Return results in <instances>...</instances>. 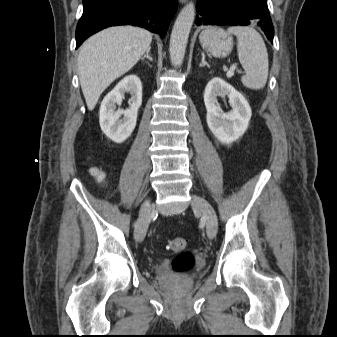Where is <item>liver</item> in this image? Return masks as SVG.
I'll return each instance as SVG.
<instances>
[{
	"label": "liver",
	"instance_id": "liver-1",
	"mask_svg": "<svg viewBox=\"0 0 337 337\" xmlns=\"http://www.w3.org/2000/svg\"><path fill=\"white\" fill-rule=\"evenodd\" d=\"M152 34L138 27L107 28L85 41L78 55L81 89L89 110L102 92L150 48Z\"/></svg>",
	"mask_w": 337,
	"mask_h": 337
}]
</instances>
